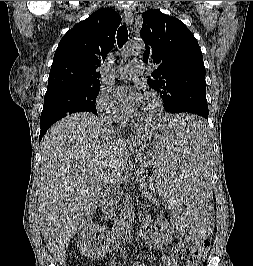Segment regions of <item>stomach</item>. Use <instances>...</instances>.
<instances>
[{
    "instance_id": "obj_1",
    "label": "stomach",
    "mask_w": 253,
    "mask_h": 266,
    "mask_svg": "<svg viewBox=\"0 0 253 266\" xmlns=\"http://www.w3.org/2000/svg\"><path fill=\"white\" fill-rule=\"evenodd\" d=\"M161 136L155 135L152 140L151 137L146 138L143 142L137 144L132 149V153L135 158L145 166H150L152 160H156L154 158V151L158 150L159 145L161 144Z\"/></svg>"
}]
</instances>
